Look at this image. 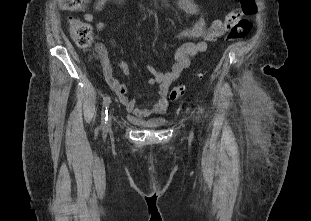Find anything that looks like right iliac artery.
<instances>
[{
  "label": "right iliac artery",
  "instance_id": "1",
  "mask_svg": "<svg viewBox=\"0 0 311 221\" xmlns=\"http://www.w3.org/2000/svg\"><path fill=\"white\" fill-rule=\"evenodd\" d=\"M111 102V99L109 96L105 97L103 102V108H102V118H101V126L100 128L102 130H105L107 127V120H108V107Z\"/></svg>",
  "mask_w": 311,
  "mask_h": 221
}]
</instances>
